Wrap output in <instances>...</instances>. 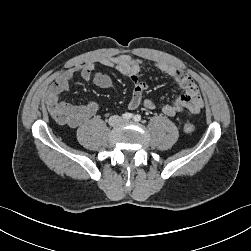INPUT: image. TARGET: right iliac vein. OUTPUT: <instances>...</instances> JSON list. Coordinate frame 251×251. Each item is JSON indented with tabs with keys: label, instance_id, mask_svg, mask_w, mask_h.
Masks as SVG:
<instances>
[{
	"label": "right iliac vein",
	"instance_id": "right-iliac-vein-1",
	"mask_svg": "<svg viewBox=\"0 0 251 251\" xmlns=\"http://www.w3.org/2000/svg\"><path fill=\"white\" fill-rule=\"evenodd\" d=\"M119 122V119L117 117H113L111 120H110V123L112 125H116L117 123Z\"/></svg>",
	"mask_w": 251,
	"mask_h": 251
}]
</instances>
